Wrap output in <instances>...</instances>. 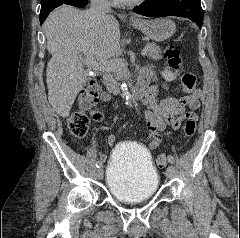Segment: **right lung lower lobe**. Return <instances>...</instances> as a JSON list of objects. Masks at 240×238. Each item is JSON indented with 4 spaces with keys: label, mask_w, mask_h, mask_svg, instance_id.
Masks as SVG:
<instances>
[{
    "label": "right lung lower lobe",
    "mask_w": 240,
    "mask_h": 238,
    "mask_svg": "<svg viewBox=\"0 0 240 238\" xmlns=\"http://www.w3.org/2000/svg\"><path fill=\"white\" fill-rule=\"evenodd\" d=\"M88 3V0H71L68 5L75 7H84ZM48 15L40 18V23L42 24Z\"/></svg>",
    "instance_id": "right-lung-lower-lobe-1"
}]
</instances>
